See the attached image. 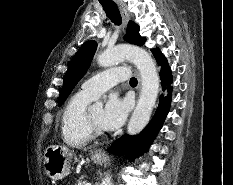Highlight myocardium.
<instances>
[{
    "label": "myocardium",
    "instance_id": "myocardium-1",
    "mask_svg": "<svg viewBox=\"0 0 233 185\" xmlns=\"http://www.w3.org/2000/svg\"><path fill=\"white\" fill-rule=\"evenodd\" d=\"M86 124L92 137H101L105 134L103 128H100L91 118L90 113H86Z\"/></svg>",
    "mask_w": 233,
    "mask_h": 185
}]
</instances>
